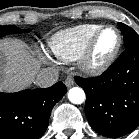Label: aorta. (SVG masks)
Returning <instances> with one entry per match:
<instances>
[{"label": "aorta", "instance_id": "obj_1", "mask_svg": "<svg viewBox=\"0 0 139 139\" xmlns=\"http://www.w3.org/2000/svg\"><path fill=\"white\" fill-rule=\"evenodd\" d=\"M68 99L74 104H82L86 99V95L82 88L73 87L68 91Z\"/></svg>", "mask_w": 139, "mask_h": 139}]
</instances>
